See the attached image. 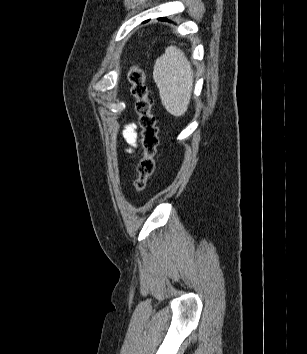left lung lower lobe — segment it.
Listing matches in <instances>:
<instances>
[{"label": "left lung lower lobe", "mask_w": 307, "mask_h": 354, "mask_svg": "<svg viewBox=\"0 0 307 354\" xmlns=\"http://www.w3.org/2000/svg\"><path fill=\"white\" fill-rule=\"evenodd\" d=\"M160 20H167V19H165V18H160Z\"/></svg>", "instance_id": "left-lung-lower-lobe-1"}]
</instances>
